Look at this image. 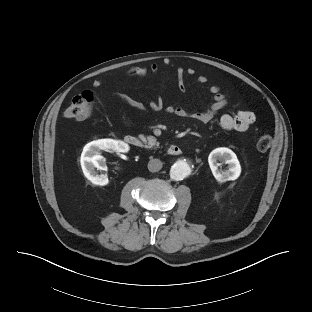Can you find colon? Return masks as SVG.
I'll list each match as a JSON object with an SVG mask.
<instances>
[{"label": "colon", "instance_id": "5ec220e1", "mask_svg": "<svg viewBox=\"0 0 312 312\" xmlns=\"http://www.w3.org/2000/svg\"><path fill=\"white\" fill-rule=\"evenodd\" d=\"M94 111L93 95L89 91H84L75 96L64 111V117L73 120H86L90 118ZM273 142L271 135L265 134L258 138L257 149L261 152L267 151Z\"/></svg>", "mask_w": 312, "mask_h": 312}]
</instances>
